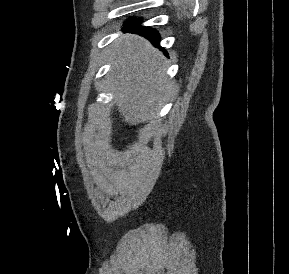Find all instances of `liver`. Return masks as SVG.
<instances>
[{
	"label": "liver",
	"instance_id": "obj_1",
	"mask_svg": "<svg viewBox=\"0 0 289 274\" xmlns=\"http://www.w3.org/2000/svg\"><path fill=\"white\" fill-rule=\"evenodd\" d=\"M114 102L126 123L153 117L175 92L167 62L149 41L127 34L110 46Z\"/></svg>",
	"mask_w": 289,
	"mask_h": 274
}]
</instances>
